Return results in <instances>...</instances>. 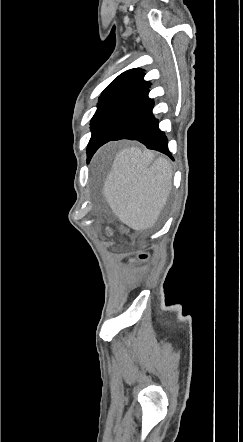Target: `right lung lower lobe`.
<instances>
[{
	"label": "right lung lower lobe",
	"mask_w": 243,
	"mask_h": 442,
	"mask_svg": "<svg viewBox=\"0 0 243 442\" xmlns=\"http://www.w3.org/2000/svg\"><path fill=\"white\" fill-rule=\"evenodd\" d=\"M150 84L124 97L104 118L87 147L88 160L103 144L120 139L137 140L148 149L172 158L165 134L152 113L154 102L148 97Z\"/></svg>",
	"instance_id": "obj_1"
}]
</instances>
